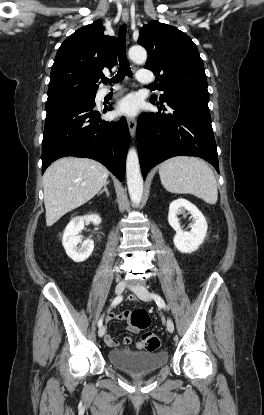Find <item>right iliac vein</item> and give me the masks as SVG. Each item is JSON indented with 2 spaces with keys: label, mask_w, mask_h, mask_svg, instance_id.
I'll list each match as a JSON object with an SVG mask.
<instances>
[{
  "label": "right iliac vein",
  "mask_w": 264,
  "mask_h": 415,
  "mask_svg": "<svg viewBox=\"0 0 264 415\" xmlns=\"http://www.w3.org/2000/svg\"><path fill=\"white\" fill-rule=\"evenodd\" d=\"M125 287H126V283H125L124 281H120V282L116 285V288H115V293H116L117 295L121 294V293L124 291ZM105 332H106V327H105V326H101V327L99 328V330H98V336H99V337H103V336H104V334H105Z\"/></svg>",
  "instance_id": "obj_1"
}]
</instances>
